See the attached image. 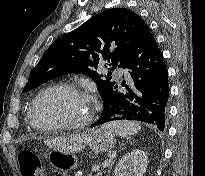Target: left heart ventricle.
<instances>
[{"instance_id":"left-heart-ventricle-1","label":"left heart ventricle","mask_w":205,"mask_h":176,"mask_svg":"<svg viewBox=\"0 0 205 176\" xmlns=\"http://www.w3.org/2000/svg\"><path fill=\"white\" fill-rule=\"evenodd\" d=\"M87 104L77 94L66 90H55L38 102L35 117L39 124L73 123L81 120Z\"/></svg>"}]
</instances>
